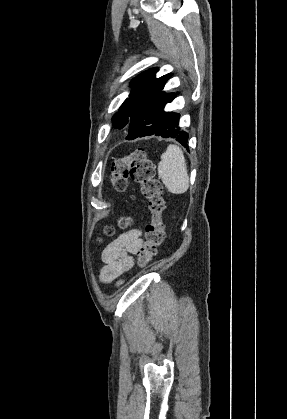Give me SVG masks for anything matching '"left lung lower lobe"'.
<instances>
[{"mask_svg":"<svg viewBox=\"0 0 287 419\" xmlns=\"http://www.w3.org/2000/svg\"><path fill=\"white\" fill-rule=\"evenodd\" d=\"M176 97V93L161 92L142 104L130 118L126 139L133 140L151 135L174 138L189 150L188 134L178 126L180 114L163 110L165 105Z\"/></svg>","mask_w":287,"mask_h":419,"instance_id":"left-lung-lower-lobe-1","label":"left lung lower lobe"}]
</instances>
